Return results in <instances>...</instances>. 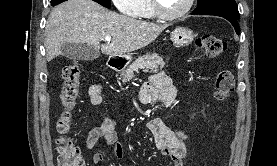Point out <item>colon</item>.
I'll use <instances>...</instances> for the list:
<instances>
[{
	"label": "colon",
	"mask_w": 277,
	"mask_h": 166,
	"mask_svg": "<svg viewBox=\"0 0 277 166\" xmlns=\"http://www.w3.org/2000/svg\"><path fill=\"white\" fill-rule=\"evenodd\" d=\"M196 46L200 52L208 58H216L227 51V42L214 35H202L196 39ZM81 71L76 61H70L62 71L63 87L61 91V103L63 111L57 122L59 138L57 139L59 166H84L79 148L75 145L70 134L73 129L72 111L80 91ZM234 88V76L226 69L220 70L214 81L215 98L225 101Z\"/></svg>",
	"instance_id": "5ec220e1"
}]
</instances>
